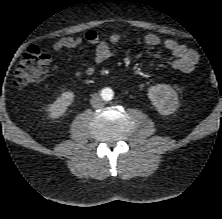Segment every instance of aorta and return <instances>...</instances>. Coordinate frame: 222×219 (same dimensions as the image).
Returning <instances> with one entry per match:
<instances>
[{"label": "aorta", "instance_id": "aorta-1", "mask_svg": "<svg viewBox=\"0 0 222 219\" xmlns=\"http://www.w3.org/2000/svg\"><path fill=\"white\" fill-rule=\"evenodd\" d=\"M105 91H106L105 99H106V100H111L112 97H113V92H112V90H111V89H106Z\"/></svg>", "mask_w": 222, "mask_h": 219}]
</instances>
